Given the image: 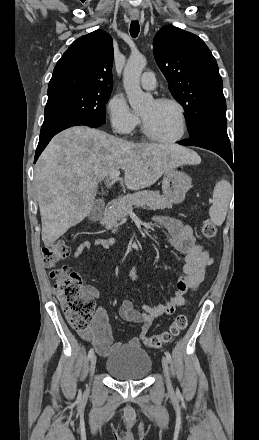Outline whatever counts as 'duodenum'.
<instances>
[{
  "label": "duodenum",
  "instance_id": "duodenum-1",
  "mask_svg": "<svg viewBox=\"0 0 259 440\" xmlns=\"http://www.w3.org/2000/svg\"><path fill=\"white\" fill-rule=\"evenodd\" d=\"M115 203H116L115 200H111L106 204V206L104 208V215H107L110 212V210L115 205Z\"/></svg>",
  "mask_w": 259,
  "mask_h": 440
}]
</instances>
